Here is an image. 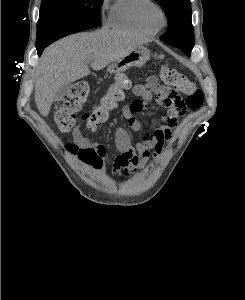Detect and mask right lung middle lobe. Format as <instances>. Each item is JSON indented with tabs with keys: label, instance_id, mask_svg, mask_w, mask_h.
<instances>
[{
	"label": "right lung middle lobe",
	"instance_id": "right-lung-middle-lobe-1",
	"mask_svg": "<svg viewBox=\"0 0 245 300\" xmlns=\"http://www.w3.org/2000/svg\"><path fill=\"white\" fill-rule=\"evenodd\" d=\"M103 0H42L36 47L100 23Z\"/></svg>",
	"mask_w": 245,
	"mask_h": 300
}]
</instances>
